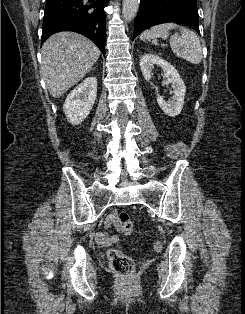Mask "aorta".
Listing matches in <instances>:
<instances>
[{
	"label": "aorta",
	"mask_w": 245,
	"mask_h": 314,
	"mask_svg": "<svg viewBox=\"0 0 245 314\" xmlns=\"http://www.w3.org/2000/svg\"><path fill=\"white\" fill-rule=\"evenodd\" d=\"M140 0H123L122 17L126 22L131 21L137 14Z\"/></svg>",
	"instance_id": "1"
}]
</instances>
